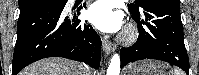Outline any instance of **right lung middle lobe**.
<instances>
[{"label":"right lung middle lobe","mask_w":199,"mask_h":75,"mask_svg":"<svg viewBox=\"0 0 199 75\" xmlns=\"http://www.w3.org/2000/svg\"><path fill=\"white\" fill-rule=\"evenodd\" d=\"M28 1L32 2V1H42V0H24V1H19V4H21L23 2H28Z\"/></svg>","instance_id":"obj_1"}]
</instances>
